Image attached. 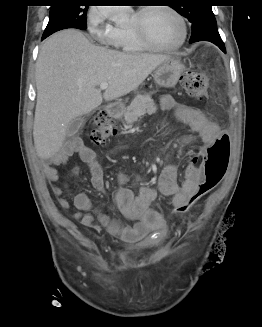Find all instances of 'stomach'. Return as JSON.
Returning a JSON list of instances; mask_svg holds the SVG:
<instances>
[{"label":"stomach","instance_id":"1","mask_svg":"<svg viewBox=\"0 0 262 327\" xmlns=\"http://www.w3.org/2000/svg\"><path fill=\"white\" fill-rule=\"evenodd\" d=\"M184 70L185 66L179 59L171 58L156 68L154 80L161 87L172 88L177 84Z\"/></svg>","mask_w":262,"mask_h":327}]
</instances>
